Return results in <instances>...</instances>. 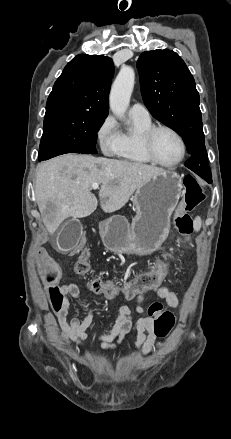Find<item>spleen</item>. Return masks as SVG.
<instances>
[{"mask_svg":"<svg viewBox=\"0 0 231 439\" xmlns=\"http://www.w3.org/2000/svg\"><path fill=\"white\" fill-rule=\"evenodd\" d=\"M200 228H201V219H200V217H196L194 220V229L196 231H199Z\"/></svg>","mask_w":231,"mask_h":439,"instance_id":"spleen-1","label":"spleen"}]
</instances>
